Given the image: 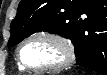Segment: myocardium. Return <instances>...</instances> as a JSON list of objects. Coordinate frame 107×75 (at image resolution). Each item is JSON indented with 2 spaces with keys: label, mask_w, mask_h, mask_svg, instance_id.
<instances>
[{
  "label": "myocardium",
  "mask_w": 107,
  "mask_h": 75,
  "mask_svg": "<svg viewBox=\"0 0 107 75\" xmlns=\"http://www.w3.org/2000/svg\"><path fill=\"white\" fill-rule=\"evenodd\" d=\"M36 38H45L59 45L64 52V58L56 64L40 66V67H34L27 64L22 58V50L29 41ZM75 57H76V50L72 40L63 34L52 30H39L31 33L22 40L17 50V58L19 64L25 69L36 72L53 71V70L65 68L71 65L75 61Z\"/></svg>",
  "instance_id": "f54148a6"
}]
</instances>
